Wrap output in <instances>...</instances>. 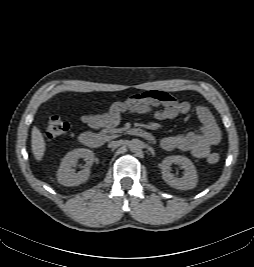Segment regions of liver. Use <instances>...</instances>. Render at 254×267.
Wrapping results in <instances>:
<instances>
[{"label": "liver", "mask_w": 254, "mask_h": 267, "mask_svg": "<svg viewBox=\"0 0 254 267\" xmlns=\"http://www.w3.org/2000/svg\"><path fill=\"white\" fill-rule=\"evenodd\" d=\"M31 148L36 161H41L46 150V143L40 130L34 126L31 132Z\"/></svg>", "instance_id": "obj_1"}]
</instances>
